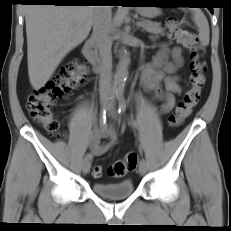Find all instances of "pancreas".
<instances>
[{"label": "pancreas", "instance_id": "obj_1", "mask_svg": "<svg viewBox=\"0 0 231 231\" xmlns=\"http://www.w3.org/2000/svg\"><path fill=\"white\" fill-rule=\"evenodd\" d=\"M141 23H142L143 29L146 30L148 33L161 34V35L165 34L164 29H162L160 24L156 22H151L149 20H143Z\"/></svg>", "mask_w": 231, "mask_h": 231}]
</instances>
